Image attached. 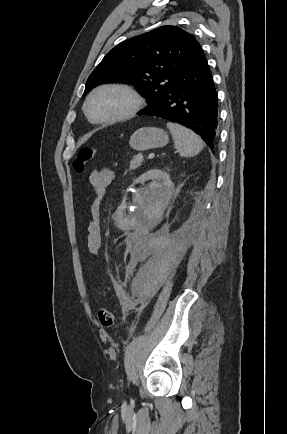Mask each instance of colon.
I'll return each mask as SVG.
<instances>
[{"mask_svg":"<svg viewBox=\"0 0 287 434\" xmlns=\"http://www.w3.org/2000/svg\"><path fill=\"white\" fill-rule=\"evenodd\" d=\"M96 150L92 147H84L81 148L73 161V168L81 173L85 170L88 163L94 157ZM97 318L102 327L109 329L114 326L115 316L112 311L105 307H101L97 312Z\"/></svg>","mask_w":287,"mask_h":434,"instance_id":"colon-1","label":"colon"}]
</instances>
